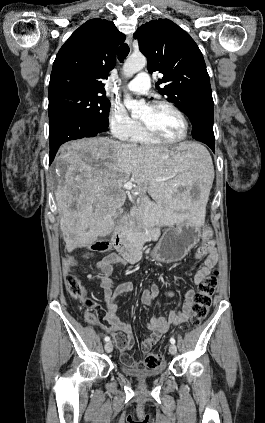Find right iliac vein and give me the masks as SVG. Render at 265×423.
I'll list each match as a JSON object with an SVG mask.
<instances>
[{
  "instance_id": "obj_1",
  "label": "right iliac vein",
  "mask_w": 265,
  "mask_h": 423,
  "mask_svg": "<svg viewBox=\"0 0 265 423\" xmlns=\"http://www.w3.org/2000/svg\"><path fill=\"white\" fill-rule=\"evenodd\" d=\"M112 350H113V344H112V342H107V343L105 344V351H106L107 353H110V352H112Z\"/></svg>"
}]
</instances>
